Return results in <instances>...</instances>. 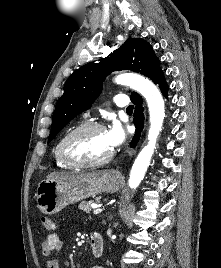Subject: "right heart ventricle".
I'll use <instances>...</instances> for the list:
<instances>
[{
	"instance_id": "right-heart-ventricle-1",
	"label": "right heart ventricle",
	"mask_w": 221,
	"mask_h": 268,
	"mask_svg": "<svg viewBox=\"0 0 221 268\" xmlns=\"http://www.w3.org/2000/svg\"><path fill=\"white\" fill-rule=\"evenodd\" d=\"M62 140V138L57 142V144L55 145V148H54V158H55V162L57 164L58 167H61V168H72V166H69L67 164H65L60 158H59V155H58V146H59V143L60 141Z\"/></svg>"
}]
</instances>
